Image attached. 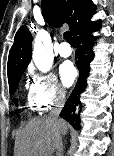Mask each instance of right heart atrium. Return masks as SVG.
<instances>
[{
  "mask_svg": "<svg viewBox=\"0 0 114 156\" xmlns=\"http://www.w3.org/2000/svg\"><path fill=\"white\" fill-rule=\"evenodd\" d=\"M40 110H48L65 101V92L52 73H30L29 95Z\"/></svg>",
  "mask_w": 114,
  "mask_h": 156,
  "instance_id": "right-heart-atrium-1",
  "label": "right heart atrium"
}]
</instances>
